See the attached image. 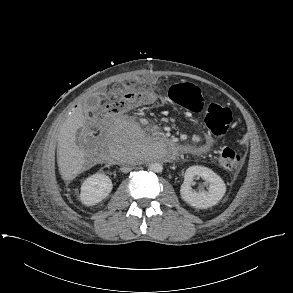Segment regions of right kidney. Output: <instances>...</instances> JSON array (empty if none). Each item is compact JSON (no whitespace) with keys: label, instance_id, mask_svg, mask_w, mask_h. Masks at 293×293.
I'll use <instances>...</instances> for the list:
<instances>
[{"label":"right kidney","instance_id":"1","mask_svg":"<svg viewBox=\"0 0 293 293\" xmlns=\"http://www.w3.org/2000/svg\"><path fill=\"white\" fill-rule=\"evenodd\" d=\"M112 188V181L107 175L96 173L83 182L80 200L86 206L96 205L110 194Z\"/></svg>","mask_w":293,"mask_h":293}]
</instances>
